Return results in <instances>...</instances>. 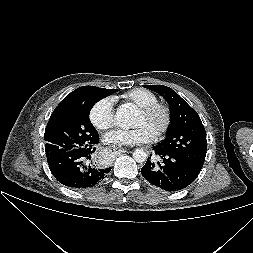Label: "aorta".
<instances>
[{
    "instance_id": "1",
    "label": "aorta",
    "mask_w": 253,
    "mask_h": 253,
    "mask_svg": "<svg viewBox=\"0 0 253 253\" xmlns=\"http://www.w3.org/2000/svg\"><path fill=\"white\" fill-rule=\"evenodd\" d=\"M133 117V109L127 105H122L117 109L115 121L119 127L127 129L132 125ZM133 159L138 163H143L147 159V153L142 149H136L133 152Z\"/></svg>"
}]
</instances>
